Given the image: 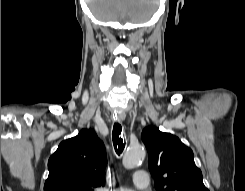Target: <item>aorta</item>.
Instances as JSON below:
<instances>
[{"label":"aorta","instance_id":"762f6f07","mask_svg":"<svg viewBox=\"0 0 245 191\" xmlns=\"http://www.w3.org/2000/svg\"><path fill=\"white\" fill-rule=\"evenodd\" d=\"M146 152L142 145H133L125 152L123 156V166L127 169H132L145 158Z\"/></svg>","mask_w":245,"mask_h":191}]
</instances>
